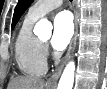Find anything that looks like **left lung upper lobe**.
Listing matches in <instances>:
<instances>
[{"mask_svg":"<svg viewBox=\"0 0 107 89\" xmlns=\"http://www.w3.org/2000/svg\"><path fill=\"white\" fill-rule=\"evenodd\" d=\"M33 0H19L18 4L15 8L13 20H12V28L16 25L22 14L25 10L31 5Z\"/></svg>","mask_w":107,"mask_h":89,"instance_id":"left-lung-upper-lobe-1","label":"left lung upper lobe"}]
</instances>
